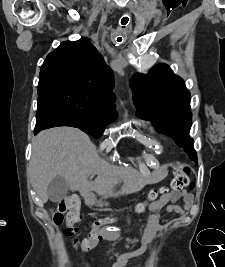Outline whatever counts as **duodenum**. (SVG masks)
<instances>
[{"label":"duodenum","instance_id":"1","mask_svg":"<svg viewBox=\"0 0 225 267\" xmlns=\"http://www.w3.org/2000/svg\"><path fill=\"white\" fill-rule=\"evenodd\" d=\"M87 196H88L89 200H91L92 194L91 193H88Z\"/></svg>","mask_w":225,"mask_h":267}]
</instances>
